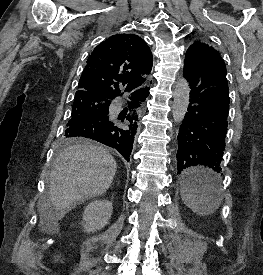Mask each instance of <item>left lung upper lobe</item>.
Returning <instances> with one entry per match:
<instances>
[{"label": "left lung upper lobe", "instance_id": "5c2ea615", "mask_svg": "<svg viewBox=\"0 0 263 275\" xmlns=\"http://www.w3.org/2000/svg\"><path fill=\"white\" fill-rule=\"evenodd\" d=\"M192 53H200V54H209V55H214L218 57L220 60H222L220 54L218 51L214 50L211 46L208 44H205L200 41H195L187 50L186 55L192 54Z\"/></svg>", "mask_w": 263, "mask_h": 275}]
</instances>
